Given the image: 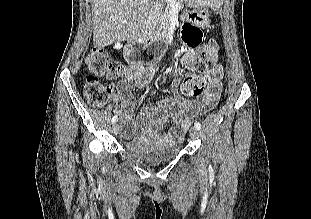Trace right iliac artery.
<instances>
[{"instance_id": "right-iliac-artery-1", "label": "right iliac artery", "mask_w": 311, "mask_h": 219, "mask_svg": "<svg viewBox=\"0 0 311 219\" xmlns=\"http://www.w3.org/2000/svg\"><path fill=\"white\" fill-rule=\"evenodd\" d=\"M117 120H118V117L117 116H113L111 122L114 124V123L117 122Z\"/></svg>"}]
</instances>
